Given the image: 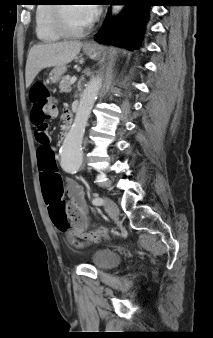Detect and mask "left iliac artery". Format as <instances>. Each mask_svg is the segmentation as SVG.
I'll use <instances>...</instances> for the list:
<instances>
[{
  "label": "left iliac artery",
  "mask_w": 213,
  "mask_h": 338,
  "mask_svg": "<svg viewBox=\"0 0 213 338\" xmlns=\"http://www.w3.org/2000/svg\"><path fill=\"white\" fill-rule=\"evenodd\" d=\"M92 203L96 206H101L103 203H104V200L100 197H95L93 200H92Z\"/></svg>",
  "instance_id": "44dca946"
}]
</instances>
